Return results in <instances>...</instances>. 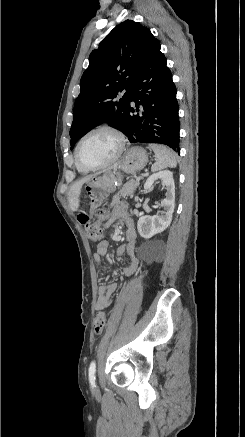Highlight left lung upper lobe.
<instances>
[{
    "instance_id": "5c2ea615",
    "label": "left lung upper lobe",
    "mask_w": 245,
    "mask_h": 437,
    "mask_svg": "<svg viewBox=\"0 0 245 437\" xmlns=\"http://www.w3.org/2000/svg\"><path fill=\"white\" fill-rule=\"evenodd\" d=\"M159 44L148 28L126 20L92 51L74 105L71 149L81 137L104 122L124 133L130 90L151 51ZM123 90L126 93L116 99Z\"/></svg>"
}]
</instances>
